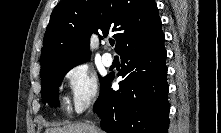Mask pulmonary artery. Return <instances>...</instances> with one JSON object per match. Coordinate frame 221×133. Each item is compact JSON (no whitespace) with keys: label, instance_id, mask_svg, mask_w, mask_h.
Instances as JSON below:
<instances>
[{"label":"pulmonary artery","instance_id":"obj_1","mask_svg":"<svg viewBox=\"0 0 221 133\" xmlns=\"http://www.w3.org/2000/svg\"><path fill=\"white\" fill-rule=\"evenodd\" d=\"M102 61L105 66L109 67L113 64L114 59L109 52H106L102 55Z\"/></svg>","mask_w":221,"mask_h":133}]
</instances>
